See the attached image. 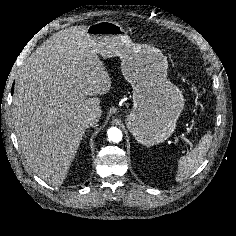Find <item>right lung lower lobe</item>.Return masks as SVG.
Segmentation results:
<instances>
[{"label":"right lung lower lobe","instance_id":"right-lung-lower-lobe-1","mask_svg":"<svg viewBox=\"0 0 236 236\" xmlns=\"http://www.w3.org/2000/svg\"><path fill=\"white\" fill-rule=\"evenodd\" d=\"M13 87H14V85L12 86V93H13Z\"/></svg>","mask_w":236,"mask_h":236}]
</instances>
